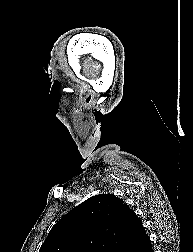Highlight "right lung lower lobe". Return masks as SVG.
I'll list each match as a JSON object with an SVG mask.
<instances>
[{
  "mask_svg": "<svg viewBox=\"0 0 193 252\" xmlns=\"http://www.w3.org/2000/svg\"><path fill=\"white\" fill-rule=\"evenodd\" d=\"M129 252H154L146 232L141 235L138 242L129 250Z\"/></svg>",
  "mask_w": 193,
  "mask_h": 252,
  "instance_id": "1",
  "label": "right lung lower lobe"
}]
</instances>
